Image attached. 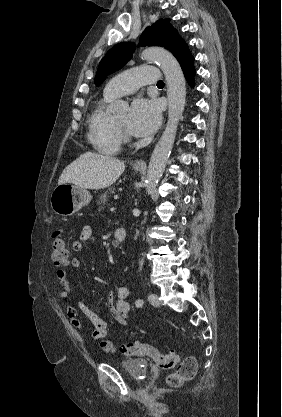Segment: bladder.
Wrapping results in <instances>:
<instances>
[{"mask_svg": "<svg viewBox=\"0 0 282 417\" xmlns=\"http://www.w3.org/2000/svg\"><path fill=\"white\" fill-rule=\"evenodd\" d=\"M118 366L136 381L144 379L149 374L148 363L143 359H127L121 361Z\"/></svg>", "mask_w": 282, "mask_h": 417, "instance_id": "bladder-1", "label": "bladder"}]
</instances>
